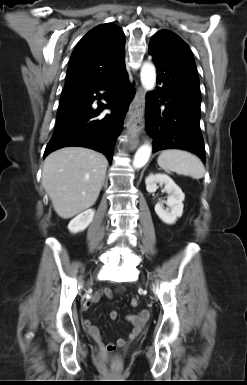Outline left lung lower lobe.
<instances>
[{"label": "left lung lower lobe", "instance_id": "obj_1", "mask_svg": "<svg viewBox=\"0 0 247 385\" xmlns=\"http://www.w3.org/2000/svg\"><path fill=\"white\" fill-rule=\"evenodd\" d=\"M148 53L156 65L159 84L146 97V130L153 138V152L183 149L205 162L198 77L172 54L161 36L152 37Z\"/></svg>", "mask_w": 247, "mask_h": 385}]
</instances>
